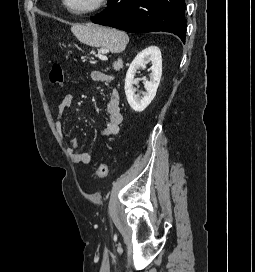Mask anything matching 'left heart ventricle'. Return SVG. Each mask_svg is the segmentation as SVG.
Returning <instances> with one entry per match:
<instances>
[{
  "instance_id": "b2bd125f",
  "label": "left heart ventricle",
  "mask_w": 255,
  "mask_h": 272,
  "mask_svg": "<svg viewBox=\"0 0 255 272\" xmlns=\"http://www.w3.org/2000/svg\"><path fill=\"white\" fill-rule=\"evenodd\" d=\"M96 1L97 0H68L69 5L73 9H77V10L89 8L93 6Z\"/></svg>"
}]
</instances>
